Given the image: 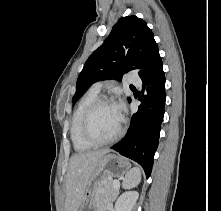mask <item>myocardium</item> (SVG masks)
I'll return each mask as SVG.
<instances>
[{"instance_id": "f54148a6", "label": "myocardium", "mask_w": 221, "mask_h": 211, "mask_svg": "<svg viewBox=\"0 0 221 211\" xmlns=\"http://www.w3.org/2000/svg\"><path fill=\"white\" fill-rule=\"evenodd\" d=\"M105 104H112V102L107 97H98L95 101H93L90 104V106L87 108V110L85 111L83 115L82 124H81L82 137L84 138L85 141L92 144L93 146L110 144L118 140L124 132L125 120L123 117H121V125L118 131L112 137L101 140V139L95 138L92 135L90 131L91 118L95 110L101 105H105Z\"/></svg>"}]
</instances>
